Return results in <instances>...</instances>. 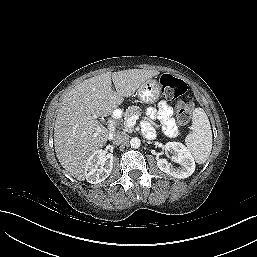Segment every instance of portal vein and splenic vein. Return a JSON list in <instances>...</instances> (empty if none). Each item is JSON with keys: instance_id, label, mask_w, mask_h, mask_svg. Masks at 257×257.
Listing matches in <instances>:
<instances>
[{"instance_id": "1", "label": "portal vein and splenic vein", "mask_w": 257, "mask_h": 257, "mask_svg": "<svg viewBox=\"0 0 257 257\" xmlns=\"http://www.w3.org/2000/svg\"><path fill=\"white\" fill-rule=\"evenodd\" d=\"M138 119H139L138 115L131 116L130 118L127 119L126 126L129 128L133 127L136 124V120Z\"/></svg>"}]
</instances>
